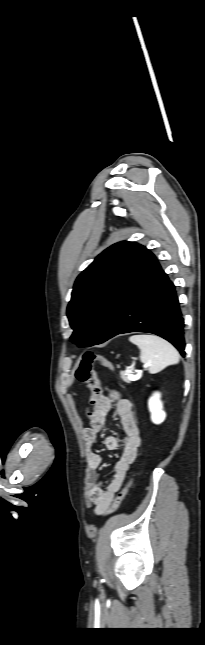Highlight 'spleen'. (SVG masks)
Here are the masks:
<instances>
[{
	"label": "spleen",
	"instance_id": "3e777b00",
	"mask_svg": "<svg viewBox=\"0 0 205 645\" xmlns=\"http://www.w3.org/2000/svg\"><path fill=\"white\" fill-rule=\"evenodd\" d=\"M129 341L139 347L141 362L148 365L150 374H156L179 362L177 350L163 338L140 334L131 336Z\"/></svg>",
	"mask_w": 205,
	"mask_h": 645
}]
</instances>
